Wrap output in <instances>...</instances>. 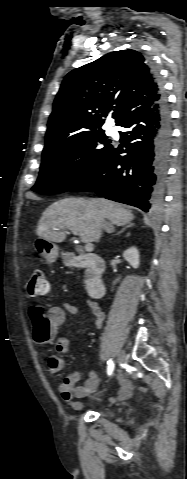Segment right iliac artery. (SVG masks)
I'll return each mask as SVG.
<instances>
[{
    "label": "right iliac artery",
    "instance_id": "1",
    "mask_svg": "<svg viewBox=\"0 0 187 479\" xmlns=\"http://www.w3.org/2000/svg\"><path fill=\"white\" fill-rule=\"evenodd\" d=\"M107 364H108L107 373L108 375H111L114 370V362L112 360H109Z\"/></svg>",
    "mask_w": 187,
    "mask_h": 479
}]
</instances>
